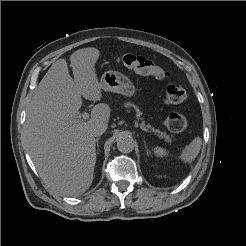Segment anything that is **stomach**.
Wrapping results in <instances>:
<instances>
[{"instance_id":"stomach-1","label":"stomach","mask_w":246,"mask_h":246,"mask_svg":"<svg viewBox=\"0 0 246 246\" xmlns=\"http://www.w3.org/2000/svg\"><path fill=\"white\" fill-rule=\"evenodd\" d=\"M100 85L104 91L119 93L126 97H133L136 93L132 81L118 71L105 72L101 77Z\"/></svg>"}]
</instances>
